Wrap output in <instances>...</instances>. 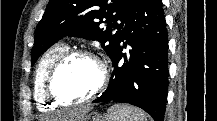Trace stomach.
<instances>
[{
  "label": "stomach",
  "instance_id": "stomach-1",
  "mask_svg": "<svg viewBox=\"0 0 217 121\" xmlns=\"http://www.w3.org/2000/svg\"><path fill=\"white\" fill-rule=\"evenodd\" d=\"M82 121H104L103 117L98 113H91L86 115Z\"/></svg>",
  "mask_w": 217,
  "mask_h": 121
}]
</instances>
